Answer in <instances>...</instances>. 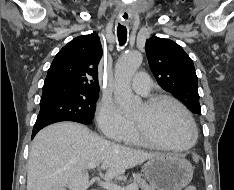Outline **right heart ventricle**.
<instances>
[{"instance_id":"e07e8e85","label":"right heart ventricle","mask_w":234,"mask_h":190,"mask_svg":"<svg viewBox=\"0 0 234 190\" xmlns=\"http://www.w3.org/2000/svg\"><path fill=\"white\" fill-rule=\"evenodd\" d=\"M121 141L128 145H134V146L145 145V143L138 137L133 122H131L129 129L124 134Z\"/></svg>"}]
</instances>
